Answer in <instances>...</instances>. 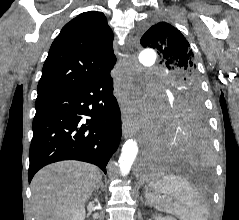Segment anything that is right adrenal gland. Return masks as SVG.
<instances>
[{
	"label": "right adrenal gland",
	"instance_id": "2a0ac1e0",
	"mask_svg": "<svg viewBox=\"0 0 239 220\" xmlns=\"http://www.w3.org/2000/svg\"><path fill=\"white\" fill-rule=\"evenodd\" d=\"M99 188H101L102 190H104V184L102 181H100L99 185H97L96 190H98Z\"/></svg>",
	"mask_w": 239,
	"mask_h": 220
}]
</instances>
